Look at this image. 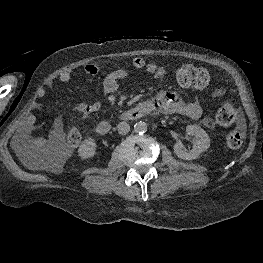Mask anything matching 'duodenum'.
Segmentation results:
<instances>
[{
  "label": "duodenum",
  "mask_w": 263,
  "mask_h": 263,
  "mask_svg": "<svg viewBox=\"0 0 263 263\" xmlns=\"http://www.w3.org/2000/svg\"><path fill=\"white\" fill-rule=\"evenodd\" d=\"M151 111H152V108L150 104L147 102H143L123 112L119 118L122 121H134V120L140 119L141 117L150 113ZM111 128H112V123L106 120L100 121L96 125V131L100 135L108 134L111 131Z\"/></svg>",
  "instance_id": "410a0bca"
}]
</instances>
